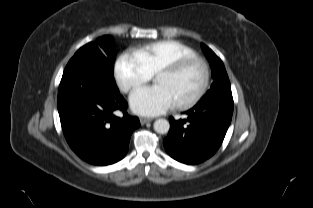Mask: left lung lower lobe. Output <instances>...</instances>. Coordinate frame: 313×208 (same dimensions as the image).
<instances>
[{
	"label": "left lung lower lobe",
	"instance_id": "obj_1",
	"mask_svg": "<svg viewBox=\"0 0 313 208\" xmlns=\"http://www.w3.org/2000/svg\"><path fill=\"white\" fill-rule=\"evenodd\" d=\"M233 98L215 96L200 100L188 110L187 119L170 117L163 144L175 160L194 165L210 158L220 147L231 123Z\"/></svg>",
	"mask_w": 313,
	"mask_h": 208
}]
</instances>
